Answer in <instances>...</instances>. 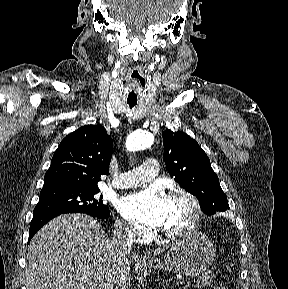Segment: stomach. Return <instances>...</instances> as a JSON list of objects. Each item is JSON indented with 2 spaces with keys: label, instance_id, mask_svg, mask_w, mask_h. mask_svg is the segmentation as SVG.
Masks as SVG:
<instances>
[{
  "label": "stomach",
  "instance_id": "stomach-1",
  "mask_svg": "<svg viewBox=\"0 0 288 289\" xmlns=\"http://www.w3.org/2000/svg\"><path fill=\"white\" fill-rule=\"evenodd\" d=\"M214 246L209 238L196 232L170 245L161 258H154L145 265L155 270H168L185 276H198L213 263Z\"/></svg>",
  "mask_w": 288,
  "mask_h": 289
}]
</instances>
